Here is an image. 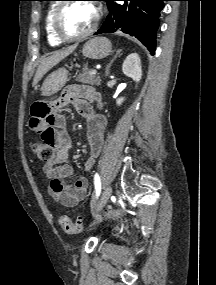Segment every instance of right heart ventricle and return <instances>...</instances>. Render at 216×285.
<instances>
[{
    "label": "right heart ventricle",
    "mask_w": 216,
    "mask_h": 285,
    "mask_svg": "<svg viewBox=\"0 0 216 285\" xmlns=\"http://www.w3.org/2000/svg\"><path fill=\"white\" fill-rule=\"evenodd\" d=\"M58 4L53 3L49 6L46 17H45V32L47 41L51 46H59L62 44V41L56 38V36L53 33L52 29V19L53 15L55 13V10L57 8Z\"/></svg>",
    "instance_id": "right-heart-ventricle-1"
}]
</instances>
